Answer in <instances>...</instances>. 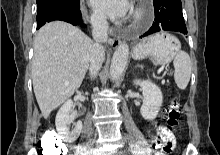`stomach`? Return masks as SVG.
Wrapping results in <instances>:
<instances>
[{
    "label": "stomach",
    "mask_w": 220,
    "mask_h": 155,
    "mask_svg": "<svg viewBox=\"0 0 220 155\" xmlns=\"http://www.w3.org/2000/svg\"><path fill=\"white\" fill-rule=\"evenodd\" d=\"M180 48L181 44L175 36L159 32L139 43L133 55L136 59L151 57L156 64L163 65L170 63Z\"/></svg>",
    "instance_id": "1"
}]
</instances>
